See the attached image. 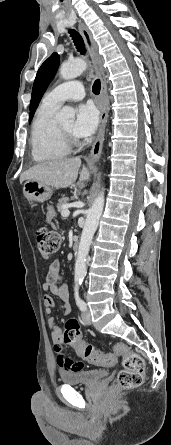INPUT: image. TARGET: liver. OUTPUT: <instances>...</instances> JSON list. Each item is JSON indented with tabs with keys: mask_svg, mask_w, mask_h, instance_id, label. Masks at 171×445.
Listing matches in <instances>:
<instances>
[{
	"mask_svg": "<svg viewBox=\"0 0 171 445\" xmlns=\"http://www.w3.org/2000/svg\"><path fill=\"white\" fill-rule=\"evenodd\" d=\"M80 166L79 157L44 162L23 172L20 182L33 180L55 188H67L76 181ZM89 176L88 169L83 166L80 181L88 180Z\"/></svg>",
	"mask_w": 171,
	"mask_h": 445,
	"instance_id": "obj_1",
	"label": "liver"
}]
</instances>
